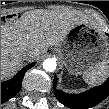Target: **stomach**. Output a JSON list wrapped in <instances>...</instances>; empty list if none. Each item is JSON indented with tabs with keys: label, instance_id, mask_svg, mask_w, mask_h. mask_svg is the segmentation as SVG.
<instances>
[{
	"label": "stomach",
	"instance_id": "0dacf381",
	"mask_svg": "<svg viewBox=\"0 0 109 109\" xmlns=\"http://www.w3.org/2000/svg\"><path fill=\"white\" fill-rule=\"evenodd\" d=\"M67 71L81 75L109 62V40L100 28L80 23L54 47Z\"/></svg>",
	"mask_w": 109,
	"mask_h": 109
}]
</instances>
